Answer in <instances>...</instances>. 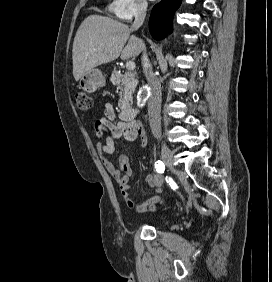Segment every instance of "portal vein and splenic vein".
<instances>
[{
	"label": "portal vein and splenic vein",
	"instance_id": "1",
	"mask_svg": "<svg viewBox=\"0 0 272 282\" xmlns=\"http://www.w3.org/2000/svg\"><path fill=\"white\" fill-rule=\"evenodd\" d=\"M126 68L128 70H134L135 69V63L133 61H129L126 63Z\"/></svg>",
	"mask_w": 272,
	"mask_h": 282
}]
</instances>
